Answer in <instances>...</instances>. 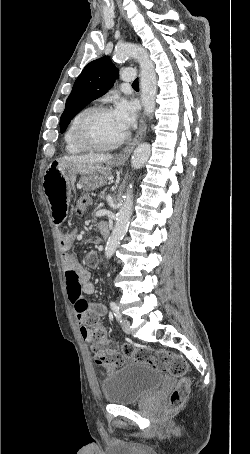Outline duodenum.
Returning a JSON list of instances; mask_svg holds the SVG:
<instances>
[{
  "instance_id": "duodenum-1",
  "label": "duodenum",
  "mask_w": 250,
  "mask_h": 454,
  "mask_svg": "<svg viewBox=\"0 0 250 454\" xmlns=\"http://www.w3.org/2000/svg\"><path fill=\"white\" fill-rule=\"evenodd\" d=\"M99 230L104 237H107L109 235V229H108V227H106V225L100 224Z\"/></svg>"
}]
</instances>
